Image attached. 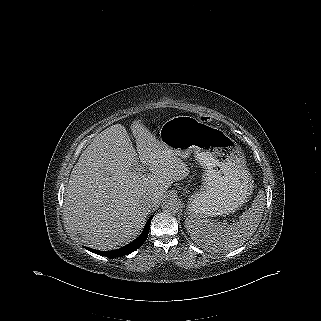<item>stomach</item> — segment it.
Returning a JSON list of instances; mask_svg holds the SVG:
<instances>
[{"mask_svg":"<svg viewBox=\"0 0 321 321\" xmlns=\"http://www.w3.org/2000/svg\"><path fill=\"white\" fill-rule=\"evenodd\" d=\"M161 143L182 159L194 154L204 169L203 186L188 204L191 215L213 217L233 212L251 192L244 155L222 130L191 116H176L160 128Z\"/></svg>","mask_w":321,"mask_h":321,"instance_id":"0dacf381","label":"stomach"}]
</instances>
